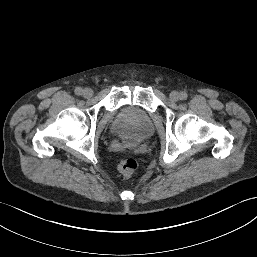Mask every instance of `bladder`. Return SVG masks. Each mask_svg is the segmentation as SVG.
Segmentation results:
<instances>
[{
    "mask_svg": "<svg viewBox=\"0 0 257 257\" xmlns=\"http://www.w3.org/2000/svg\"><path fill=\"white\" fill-rule=\"evenodd\" d=\"M111 127L117 135L132 144L147 139L153 133L150 116L145 111L133 107L121 110Z\"/></svg>",
    "mask_w": 257,
    "mask_h": 257,
    "instance_id": "31cf9c89",
    "label": "bladder"
}]
</instances>
